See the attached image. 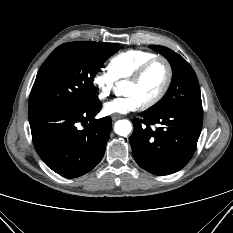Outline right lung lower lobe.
I'll list each match as a JSON object with an SVG mask.
<instances>
[{"mask_svg": "<svg viewBox=\"0 0 233 233\" xmlns=\"http://www.w3.org/2000/svg\"><path fill=\"white\" fill-rule=\"evenodd\" d=\"M98 98L76 109H50L29 113L34 147L54 172L76 178L92 170L101 160L111 132L109 116L94 120L101 110ZM79 123L86 125L83 130Z\"/></svg>", "mask_w": 233, "mask_h": 233, "instance_id": "obj_1", "label": "right lung lower lobe"}]
</instances>
